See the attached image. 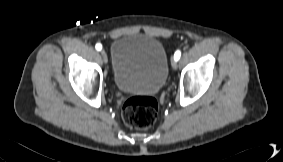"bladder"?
Here are the masks:
<instances>
[{
	"instance_id": "obj_1",
	"label": "bladder",
	"mask_w": 283,
	"mask_h": 162,
	"mask_svg": "<svg viewBox=\"0 0 283 162\" xmlns=\"http://www.w3.org/2000/svg\"><path fill=\"white\" fill-rule=\"evenodd\" d=\"M112 79L127 94H155L168 77V57L163 44L146 34L116 39L111 48Z\"/></svg>"
}]
</instances>
